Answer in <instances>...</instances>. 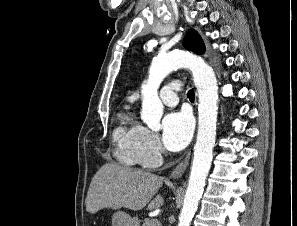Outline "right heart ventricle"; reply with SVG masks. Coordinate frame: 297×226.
<instances>
[{"label": "right heart ventricle", "mask_w": 297, "mask_h": 226, "mask_svg": "<svg viewBox=\"0 0 297 226\" xmlns=\"http://www.w3.org/2000/svg\"><path fill=\"white\" fill-rule=\"evenodd\" d=\"M136 127L130 116H123L113 133L118 146V159L124 164L136 163Z\"/></svg>", "instance_id": "right-heart-ventricle-1"}]
</instances>
